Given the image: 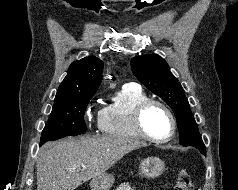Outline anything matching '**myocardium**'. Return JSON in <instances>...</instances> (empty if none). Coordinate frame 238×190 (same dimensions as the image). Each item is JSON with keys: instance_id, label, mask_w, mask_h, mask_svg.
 <instances>
[{"instance_id": "1", "label": "myocardium", "mask_w": 238, "mask_h": 190, "mask_svg": "<svg viewBox=\"0 0 238 190\" xmlns=\"http://www.w3.org/2000/svg\"><path fill=\"white\" fill-rule=\"evenodd\" d=\"M152 106H158L162 108L170 119L171 129L169 134L166 135L165 137H161V138L154 137L150 135L145 129L144 122H143L144 115L146 111ZM133 123H134V127L136 131L142 138L154 143H164L169 141L174 136L176 127H177L176 118L173 112L171 111V109L164 102L160 100H156V99H150V98L142 101L140 104L137 105L133 113Z\"/></svg>"}]
</instances>
